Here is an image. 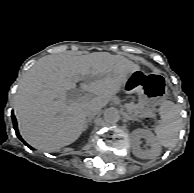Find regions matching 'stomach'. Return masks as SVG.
Masks as SVG:
<instances>
[{
  "instance_id": "1",
  "label": "stomach",
  "mask_w": 194,
  "mask_h": 193,
  "mask_svg": "<svg viewBox=\"0 0 194 193\" xmlns=\"http://www.w3.org/2000/svg\"><path fill=\"white\" fill-rule=\"evenodd\" d=\"M125 88L138 95V106L142 110L160 105L168 97V87L166 79L161 74L144 73L143 71L133 72Z\"/></svg>"
}]
</instances>
